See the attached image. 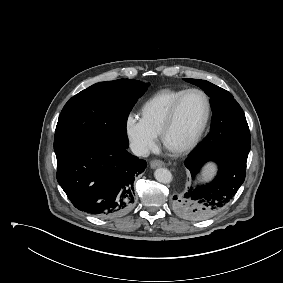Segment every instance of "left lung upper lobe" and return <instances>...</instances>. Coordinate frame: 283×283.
<instances>
[{
  "label": "left lung upper lobe",
  "mask_w": 283,
  "mask_h": 283,
  "mask_svg": "<svg viewBox=\"0 0 283 283\" xmlns=\"http://www.w3.org/2000/svg\"><path fill=\"white\" fill-rule=\"evenodd\" d=\"M184 80L205 91L210 97L213 112L210 132L195 151L234 149L249 153L251 142L249 127L242 108L232 94L205 80L189 78Z\"/></svg>",
  "instance_id": "obj_1"
}]
</instances>
